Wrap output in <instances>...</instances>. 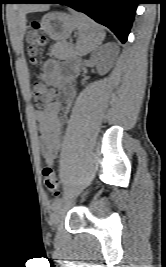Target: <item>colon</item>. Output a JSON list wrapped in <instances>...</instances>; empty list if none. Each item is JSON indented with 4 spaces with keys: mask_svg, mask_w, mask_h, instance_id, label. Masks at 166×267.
Returning a JSON list of instances; mask_svg holds the SVG:
<instances>
[{
    "mask_svg": "<svg viewBox=\"0 0 166 267\" xmlns=\"http://www.w3.org/2000/svg\"><path fill=\"white\" fill-rule=\"evenodd\" d=\"M45 42L42 34V25L39 21H33L31 29L27 33V51L33 63H37V55ZM32 92L35 105L40 110H45L52 106L57 100V92L48 88L42 82H34ZM44 184L49 192L54 196H59V181L53 168L46 166L42 171Z\"/></svg>",
    "mask_w": 166,
    "mask_h": 267,
    "instance_id": "obj_1",
    "label": "colon"
}]
</instances>
